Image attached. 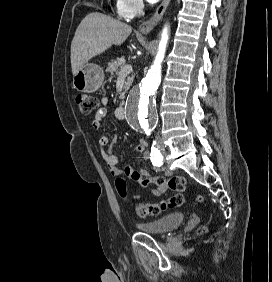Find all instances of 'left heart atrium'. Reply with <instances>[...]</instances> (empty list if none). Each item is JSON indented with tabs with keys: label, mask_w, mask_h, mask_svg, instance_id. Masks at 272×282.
Listing matches in <instances>:
<instances>
[{
	"label": "left heart atrium",
	"mask_w": 272,
	"mask_h": 282,
	"mask_svg": "<svg viewBox=\"0 0 272 282\" xmlns=\"http://www.w3.org/2000/svg\"><path fill=\"white\" fill-rule=\"evenodd\" d=\"M149 1V3H151V4H154V3H156L157 1H159V0H148Z\"/></svg>",
	"instance_id": "obj_1"
}]
</instances>
